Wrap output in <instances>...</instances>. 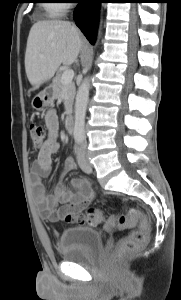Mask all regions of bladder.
Masks as SVG:
<instances>
[{
  "label": "bladder",
  "mask_w": 181,
  "mask_h": 300,
  "mask_svg": "<svg viewBox=\"0 0 181 300\" xmlns=\"http://www.w3.org/2000/svg\"><path fill=\"white\" fill-rule=\"evenodd\" d=\"M58 244L64 260L87 262L101 253L103 236L94 228L69 227L61 233Z\"/></svg>",
  "instance_id": "obj_1"
}]
</instances>
